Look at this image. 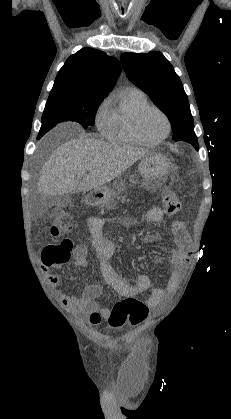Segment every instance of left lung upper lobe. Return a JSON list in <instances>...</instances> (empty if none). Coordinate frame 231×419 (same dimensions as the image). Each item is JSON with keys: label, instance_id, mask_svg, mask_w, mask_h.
Returning <instances> with one entry per match:
<instances>
[{"label": "left lung upper lobe", "instance_id": "5c2ea615", "mask_svg": "<svg viewBox=\"0 0 231 419\" xmlns=\"http://www.w3.org/2000/svg\"><path fill=\"white\" fill-rule=\"evenodd\" d=\"M121 63L127 77L166 114L174 141H185L198 147L187 95L179 76L162 53H123Z\"/></svg>", "mask_w": 231, "mask_h": 419}]
</instances>
